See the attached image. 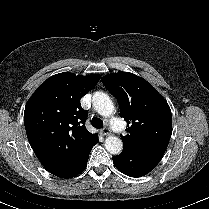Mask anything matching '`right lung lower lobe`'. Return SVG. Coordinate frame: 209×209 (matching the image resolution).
<instances>
[{"label": "right lung lower lobe", "mask_w": 209, "mask_h": 209, "mask_svg": "<svg viewBox=\"0 0 209 209\" xmlns=\"http://www.w3.org/2000/svg\"><path fill=\"white\" fill-rule=\"evenodd\" d=\"M98 143V137L87 147V149L81 154L80 158L72 165L65 173L60 175L61 178H71L80 174L87 166L89 153L94 145Z\"/></svg>", "instance_id": "obj_1"}]
</instances>
